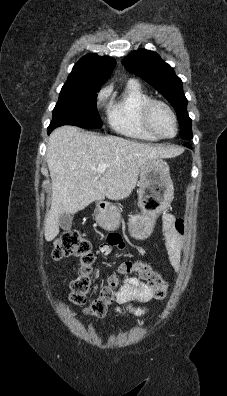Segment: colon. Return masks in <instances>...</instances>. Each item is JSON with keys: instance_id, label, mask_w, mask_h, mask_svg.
I'll use <instances>...</instances> for the list:
<instances>
[{"instance_id": "5ec220e1", "label": "colon", "mask_w": 227, "mask_h": 396, "mask_svg": "<svg viewBox=\"0 0 227 396\" xmlns=\"http://www.w3.org/2000/svg\"><path fill=\"white\" fill-rule=\"evenodd\" d=\"M54 259L77 257L79 259V276L71 283L70 300L78 306H84L90 288V273L95 261L91 242L75 231L63 234L55 243L52 251ZM120 272L128 276L136 274L150 285L154 297L162 300L167 295L168 285L161 275L150 264L142 261L128 260L121 265ZM120 286L118 275L109 277L107 283L100 289L99 295L84 309L88 315L102 317L115 302L116 291Z\"/></svg>"}]
</instances>
